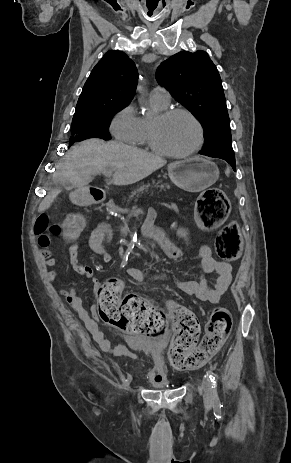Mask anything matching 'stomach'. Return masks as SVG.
I'll use <instances>...</instances> for the list:
<instances>
[{"mask_svg": "<svg viewBox=\"0 0 291 463\" xmlns=\"http://www.w3.org/2000/svg\"><path fill=\"white\" fill-rule=\"evenodd\" d=\"M168 175L179 188L188 192H200L213 185L218 177V167L201 157L175 161L168 165ZM85 191L78 188L72 199L77 203L85 201Z\"/></svg>", "mask_w": 291, "mask_h": 463, "instance_id": "0dacf381", "label": "stomach"}]
</instances>
